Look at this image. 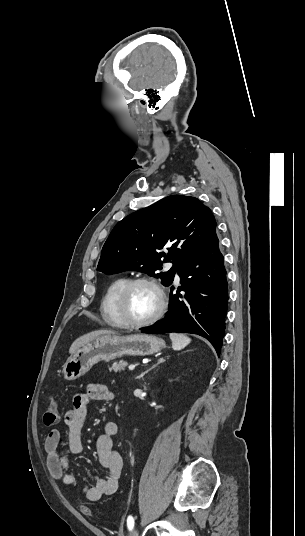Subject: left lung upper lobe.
Instances as JSON below:
<instances>
[{
	"label": "left lung upper lobe",
	"instance_id": "obj_1",
	"mask_svg": "<svg viewBox=\"0 0 305 536\" xmlns=\"http://www.w3.org/2000/svg\"><path fill=\"white\" fill-rule=\"evenodd\" d=\"M210 209L195 197L168 196L118 222L105 242L97 270L114 274L144 272L170 284L179 266L215 231ZM169 246L167 254L161 252ZM164 262H172L160 272Z\"/></svg>",
	"mask_w": 305,
	"mask_h": 536
}]
</instances>
